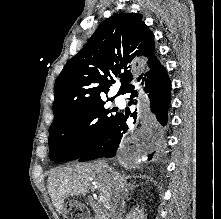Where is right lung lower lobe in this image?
I'll return each mask as SVG.
<instances>
[{
    "label": "right lung lower lobe",
    "instance_id": "98d812e1",
    "mask_svg": "<svg viewBox=\"0 0 221 219\" xmlns=\"http://www.w3.org/2000/svg\"><path fill=\"white\" fill-rule=\"evenodd\" d=\"M149 70L142 72L134 84H129L122 94H128L130 99L136 98L134 104L139 103V115L147 131L141 138L144 143L150 141L149 149H144L147 160L156 161L162 154V133L159 124L166 125L168 108L171 101V82L165 68L155 58L149 65ZM133 103V100L130 101ZM128 115L119 113L115 122L104 138L88 153L80 157L79 161H90L100 157H122L125 150V133ZM136 120L137 112L131 114ZM151 138L153 139L151 141Z\"/></svg>",
    "mask_w": 221,
    "mask_h": 219
}]
</instances>
